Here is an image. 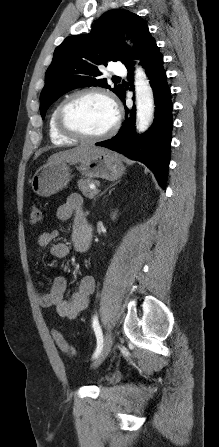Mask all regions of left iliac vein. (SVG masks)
I'll use <instances>...</instances> for the list:
<instances>
[{"mask_svg": "<svg viewBox=\"0 0 219 447\" xmlns=\"http://www.w3.org/2000/svg\"><path fill=\"white\" fill-rule=\"evenodd\" d=\"M112 344H113V337L112 332L109 329L104 335L101 352L92 364L93 368L98 367L106 359L112 348Z\"/></svg>", "mask_w": 219, "mask_h": 447, "instance_id": "1", "label": "left iliac vein"}]
</instances>
